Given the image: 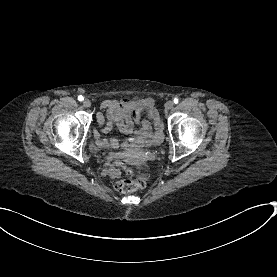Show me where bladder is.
I'll list each match as a JSON object with an SVG mask.
<instances>
[{
    "label": "bladder",
    "mask_w": 277,
    "mask_h": 277,
    "mask_svg": "<svg viewBox=\"0 0 277 277\" xmlns=\"http://www.w3.org/2000/svg\"><path fill=\"white\" fill-rule=\"evenodd\" d=\"M162 134H163L162 132H159V138L162 136ZM159 138H158V140H159Z\"/></svg>",
    "instance_id": "obj_1"
}]
</instances>
